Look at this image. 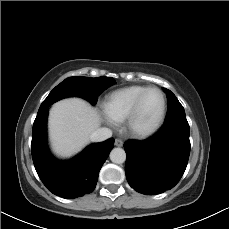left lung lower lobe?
I'll list each match as a JSON object with an SVG mask.
<instances>
[{
  "mask_svg": "<svg viewBox=\"0 0 229 229\" xmlns=\"http://www.w3.org/2000/svg\"><path fill=\"white\" fill-rule=\"evenodd\" d=\"M125 173L129 185L142 194L155 195L172 189L183 176L189 155L186 118L165 122L151 138L124 143Z\"/></svg>",
  "mask_w": 229,
  "mask_h": 229,
  "instance_id": "0a47b994",
  "label": "left lung lower lobe"
}]
</instances>
